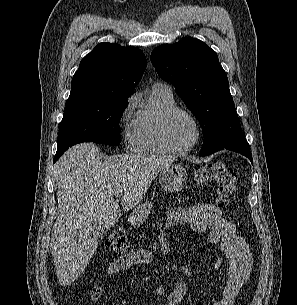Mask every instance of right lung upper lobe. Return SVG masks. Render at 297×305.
I'll return each instance as SVG.
<instances>
[{"mask_svg":"<svg viewBox=\"0 0 297 305\" xmlns=\"http://www.w3.org/2000/svg\"><path fill=\"white\" fill-rule=\"evenodd\" d=\"M146 65V57L138 48L100 43L81 60L66 104L131 96Z\"/></svg>","mask_w":297,"mask_h":305,"instance_id":"obj_1","label":"right lung upper lobe"}]
</instances>
